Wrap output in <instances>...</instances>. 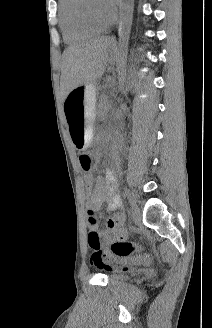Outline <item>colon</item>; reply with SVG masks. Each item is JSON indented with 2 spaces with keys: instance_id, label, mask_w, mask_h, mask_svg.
<instances>
[{
  "instance_id": "5ec220e1",
  "label": "colon",
  "mask_w": 212,
  "mask_h": 328,
  "mask_svg": "<svg viewBox=\"0 0 212 328\" xmlns=\"http://www.w3.org/2000/svg\"><path fill=\"white\" fill-rule=\"evenodd\" d=\"M78 165L80 170H92V158L89 153H79ZM90 221H96L97 215L89 211ZM88 245L93 250L91 255V263L99 269H111V256L118 259H128L138 250V245L125 239H118L111 245V254L106 253L102 249L100 235L97 231L92 230L88 233ZM135 261L143 264H150L151 258L148 255H139L135 257Z\"/></svg>"
}]
</instances>
